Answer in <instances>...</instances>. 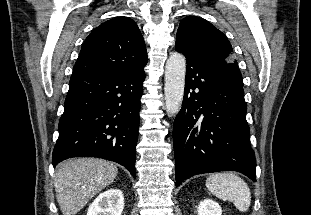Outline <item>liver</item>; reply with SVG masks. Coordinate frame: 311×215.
<instances>
[{
  "label": "liver",
  "mask_w": 311,
  "mask_h": 215,
  "mask_svg": "<svg viewBox=\"0 0 311 215\" xmlns=\"http://www.w3.org/2000/svg\"><path fill=\"white\" fill-rule=\"evenodd\" d=\"M118 174L117 166L99 158H75L57 166L56 198L63 215H75Z\"/></svg>",
  "instance_id": "liver-1"
}]
</instances>
